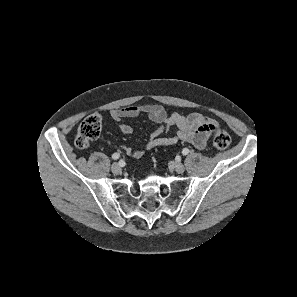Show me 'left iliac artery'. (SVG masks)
I'll return each instance as SVG.
<instances>
[{"label":"left iliac artery","mask_w":297,"mask_h":297,"mask_svg":"<svg viewBox=\"0 0 297 297\" xmlns=\"http://www.w3.org/2000/svg\"><path fill=\"white\" fill-rule=\"evenodd\" d=\"M189 153V149L188 148H184L183 150H182V154L183 155H187Z\"/></svg>","instance_id":"obj_1"}]
</instances>
